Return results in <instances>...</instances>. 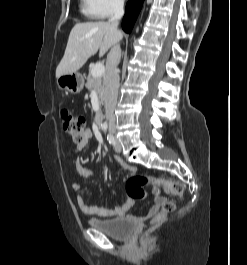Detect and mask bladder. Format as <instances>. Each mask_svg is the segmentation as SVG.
<instances>
[{"label":"bladder","mask_w":247,"mask_h":265,"mask_svg":"<svg viewBox=\"0 0 247 265\" xmlns=\"http://www.w3.org/2000/svg\"><path fill=\"white\" fill-rule=\"evenodd\" d=\"M89 225L116 240L127 239L135 230L133 221L126 218L89 219Z\"/></svg>","instance_id":"1"}]
</instances>
